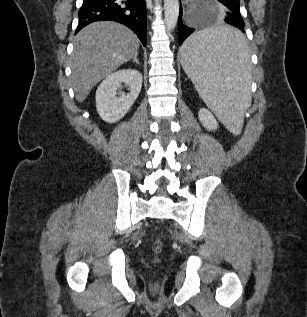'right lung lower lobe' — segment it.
I'll return each mask as SVG.
<instances>
[{
    "instance_id": "right-lung-lower-lobe-1",
    "label": "right lung lower lobe",
    "mask_w": 307,
    "mask_h": 317,
    "mask_svg": "<svg viewBox=\"0 0 307 317\" xmlns=\"http://www.w3.org/2000/svg\"><path fill=\"white\" fill-rule=\"evenodd\" d=\"M83 0L79 10V25L76 33L86 25L110 20L126 25L139 37L146 46L147 21L145 0Z\"/></svg>"
}]
</instances>
